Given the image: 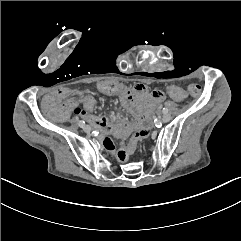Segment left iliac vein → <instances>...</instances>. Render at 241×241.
Instances as JSON below:
<instances>
[{"instance_id": "obj_1", "label": "left iliac vein", "mask_w": 241, "mask_h": 241, "mask_svg": "<svg viewBox=\"0 0 241 241\" xmlns=\"http://www.w3.org/2000/svg\"><path fill=\"white\" fill-rule=\"evenodd\" d=\"M171 120V116L169 114H165L163 117H162V122L164 123H167Z\"/></svg>"}]
</instances>
